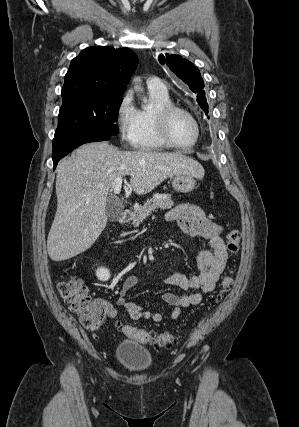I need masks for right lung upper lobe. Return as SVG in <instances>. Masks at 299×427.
<instances>
[{
	"label": "right lung upper lobe",
	"instance_id": "cb5924a9",
	"mask_svg": "<svg viewBox=\"0 0 299 427\" xmlns=\"http://www.w3.org/2000/svg\"><path fill=\"white\" fill-rule=\"evenodd\" d=\"M137 64L136 55L128 48H86L70 63L62 99L80 94L122 95Z\"/></svg>",
	"mask_w": 299,
	"mask_h": 427
}]
</instances>
